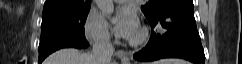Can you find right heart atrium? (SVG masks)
Instances as JSON below:
<instances>
[{
    "instance_id": "right-heart-atrium-1",
    "label": "right heart atrium",
    "mask_w": 242,
    "mask_h": 64,
    "mask_svg": "<svg viewBox=\"0 0 242 64\" xmlns=\"http://www.w3.org/2000/svg\"><path fill=\"white\" fill-rule=\"evenodd\" d=\"M85 37L94 44L106 45L111 42V33L105 19L90 11L85 19L84 26Z\"/></svg>"
}]
</instances>
